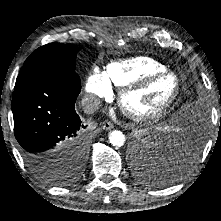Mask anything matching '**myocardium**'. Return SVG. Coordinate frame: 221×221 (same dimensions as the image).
<instances>
[{"instance_id":"1","label":"myocardium","mask_w":221,"mask_h":221,"mask_svg":"<svg viewBox=\"0 0 221 221\" xmlns=\"http://www.w3.org/2000/svg\"><path fill=\"white\" fill-rule=\"evenodd\" d=\"M163 77H170L173 79L175 83L174 91L171 94V96L157 109L150 111V112H136L129 108L126 104V99L128 96L132 95L133 93L140 91L150 84H152L154 81L163 78ZM181 91V81L179 77L171 72V71H161V72H155L152 73L143 79L139 80L138 82L128 84L120 90L118 94V105L128 118H130L133 121L137 122H143V121H152L156 120L160 117H162L166 112L174 105L176 102L179 94Z\"/></svg>"}]
</instances>
